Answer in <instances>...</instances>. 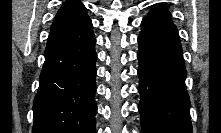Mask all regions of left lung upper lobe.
<instances>
[{"label":"left lung upper lobe","instance_id":"obj_1","mask_svg":"<svg viewBox=\"0 0 221 133\" xmlns=\"http://www.w3.org/2000/svg\"><path fill=\"white\" fill-rule=\"evenodd\" d=\"M145 18H157L167 21L172 19L170 12L161 6L154 8Z\"/></svg>","mask_w":221,"mask_h":133}]
</instances>
